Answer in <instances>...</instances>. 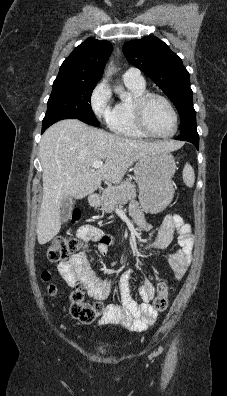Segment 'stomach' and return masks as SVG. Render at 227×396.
<instances>
[{
    "label": "stomach",
    "instance_id": "0dacf381",
    "mask_svg": "<svg viewBox=\"0 0 227 396\" xmlns=\"http://www.w3.org/2000/svg\"><path fill=\"white\" fill-rule=\"evenodd\" d=\"M175 170L174 157L162 150L148 153L136 162L134 174L139 186V200L146 212L159 213L170 204Z\"/></svg>",
    "mask_w": 227,
    "mask_h": 396
}]
</instances>
